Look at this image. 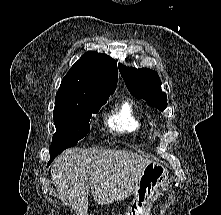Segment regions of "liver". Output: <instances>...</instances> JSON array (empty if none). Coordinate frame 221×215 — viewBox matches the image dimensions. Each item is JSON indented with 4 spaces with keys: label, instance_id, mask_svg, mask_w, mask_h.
Instances as JSON below:
<instances>
[{
    "label": "liver",
    "instance_id": "obj_1",
    "mask_svg": "<svg viewBox=\"0 0 221 215\" xmlns=\"http://www.w3.org/2000/svg\"><path fill=\"white\" fill-rule=\"evenodd\" d=\"M150 162L125 150L72 148L54 160L51 177L59 199L79 215H87L90 189L99 205L124 200L135 191Z\"/></svg>",
    "mask_w": 221,
    "mask_h": 215
}]
</instances>
